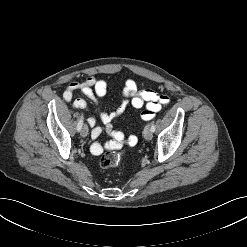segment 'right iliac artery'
<instances>
[{
    "mask_svg": "<svg viewBox=\"0 0 247 247\" xmlns=\"http://www.w3.org/2000/svg\"><path fill=\"white\" fill-rule=\"evenodd\" d=\"M83 126V115L81 116L78 125H77V130L80 131Z\"/></svg>",
    "mask_w": 247,
    "mask_h": 247,
    "instance_id": "1",
    "label": "right iliac artery"
}]
</instances>
